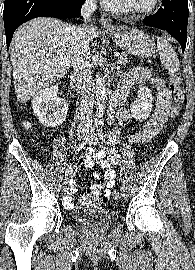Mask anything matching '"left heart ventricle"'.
Listing matches in <instances>:
<instances>
[{"mask_svg":"<svg viewBox=\"0 0 195 270\" xmlns=\"http://www.w3.org/2000/svg\"><path fill=\"white\" fill-rule=\"evenodd\" d=\"M135 9H145L152 5L154 0H125Z\"/></svg>","mask_w":195,"mask_h":270,"instance_id":"1","label":"left heart ventricle"}]
</instances>
